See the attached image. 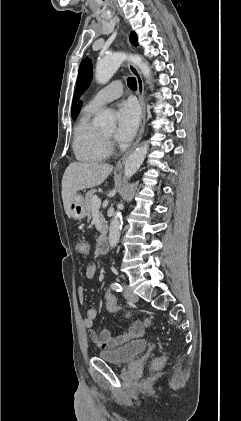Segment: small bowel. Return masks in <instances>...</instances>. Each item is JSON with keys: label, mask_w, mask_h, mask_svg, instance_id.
Segmentation results:
<instances>
[{"label": "small bowel", "mask_w": 241, "mask_h": 421, "mask_svg": "<svg viewBox=\"0 0 241 421\" xmlns=\"http://www.w3.org/2000/svg\"><path fill=\"white\" fill-rule=\"evenodd\" d=\"M97 272V265L90 262L86 268V276L93 278ZM80 302L84 299V288L80 286L77 291ZM97 316L95 308L91 307L87 310L83 319V325L87 329V335L90 341L99 349H113L117 348L131 340L140 338L145 332L146 325L142 321H134L130 327L118 334H113L107 329H102L99 333L95 332L92 327Z\"/></svg>", "instance_id": "1"}]
</instances>
